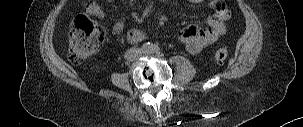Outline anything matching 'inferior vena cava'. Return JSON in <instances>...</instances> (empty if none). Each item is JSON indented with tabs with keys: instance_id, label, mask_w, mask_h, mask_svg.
Listing matches in <instances>:
<instances>
[{
	"instance_id": "602c4592",
	"label": "inferior vena cava",
	"mask_w": 303,
	"mask_h": 127,
	"mask_svg": "<svg viewBox=\"0 0 303 127\" xmlns=\"http://www.w3.org/2000/svg\"><path fill=\"white\" fill-rule=\"evenodd\" d=\"M141 56V51L138 48H130L125 52V59L128 61H134Z\"/></svg>"
}]
</instances>
